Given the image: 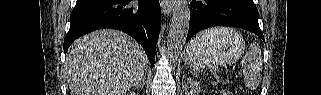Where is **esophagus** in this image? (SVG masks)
Returning a JSON list of instances; mask_svg holds the SVG:
<instances>
[{
	"label": "esophagus",
	"instance_id": "34e87169",
	"mask_svg": "<svg viewBox=\"0 0 321 95\" xmlns=\"http://www.w3.org/2000/svg\"><path fill=\"white\" fill-rule=\"evenodd\" d=\"M173 2L172 0H162L161 1V7L162 11L165 15H169L173 8Z\"/></svg>",
	"mask_w": 321,
	"mask_h": 95
}]
</instances>
